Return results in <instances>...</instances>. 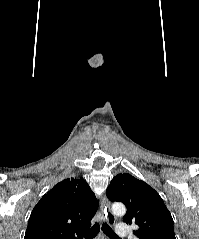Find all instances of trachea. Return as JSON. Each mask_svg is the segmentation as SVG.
<instances>
[{
    "label": "trachea",
    "instance_id": "obj_1",
    "mask_svg": "<svg viewBox=\"0 0 199 239\" xmlns=\"http://www.w3.org/2000/svg\"><path fill=\"white\" fill-rule=\"evenodd\" d=\"M102 230L110 238L119 239V237L115 234V232L112 230V228L109 227L107 223H103ZM99 231H100V225L99 223H95L92 228H90L87 231H84L82 234L85 239H94V237L98 234Z\"/></svg>",
    "mask_w": 199,
    "mask_h": 239
}]
</instances>
